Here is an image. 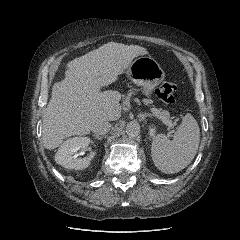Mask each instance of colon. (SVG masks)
Segmentation results:
<instances>
[{
    "instance_id": "5ec220e1",
    "label": "colon",
    "mask_w": 240,
    "mask_h": 240,
    "mask_svg": "<svg viewBox=\"0 0 240 240\" xmlns=\"http://www.w3.org/2000/svg\"><path fill=\"white\" fill-rule=\"evenodd\" d=\"M176 84L173 82H165L156 90V96L167 104L175 103V91H176Z\"/></svg>"
}]
</instances>
